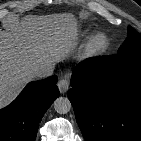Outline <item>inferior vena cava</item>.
I'll return each mask as SVG.
<instances>
[{
	"mask_svg": "<svg viewBox=\"0 0 141 141\" xmlns=\"http://www.w3.org/2000/svg\"><path fill=\"white\" fill-rule=\"evenodd\" d=\"M53 73V66L42 65L34 70V75L38 78H47Z\"/></svg>",
	"mask_w": 141,
	"mask_h": 141,
	"instance_id": "inferior-vena-cava-1",
	"label": "inferior vena cava"
}]
</instances>
